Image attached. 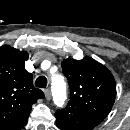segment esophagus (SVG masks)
<instances>
[{
  "label": "esophagus",
  "mask_w": 130,
  "mask_h": 130,
  "mask_svg": "<svg viewBox=\"0 0 130 130\" xmlns=\"http://www.w3.org/2000/svg\"><path fill=\"white\" fill-rule=\"evenodd\" d=\"M44 94H45V97H46L47 100L51 99V91H50V89H45Z\"/></svg>",
  "instance_id": "obj_1"
}]
</instances>
